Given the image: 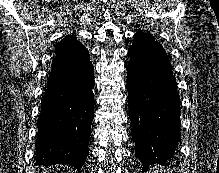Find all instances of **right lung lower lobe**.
<instances>
[{
    "label": "right lung lower lobe",
    "mask_w": 219,
    "mask_h": 173,
    "mask_svg": "<svg viewBox=\"0 0 219 173\" xmlns=\"http://www.w3.org/2000/svg\"><path fill=\"white\" fill-rule=\"evenodd\" d=\"M94 83L89 52L70 62L53 59L37 121L36 164L83 166L94 117Z\"/></svg>",
    "instance_id": "right-lung-lower-lobe-1"
}]
</instances>
